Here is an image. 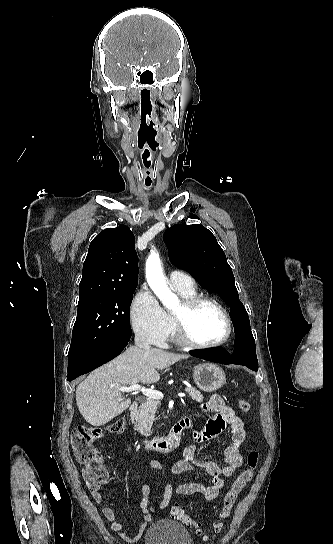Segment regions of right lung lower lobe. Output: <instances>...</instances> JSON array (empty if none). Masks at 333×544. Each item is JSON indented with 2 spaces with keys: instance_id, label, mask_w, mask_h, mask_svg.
Returning <instances> with one entry per match:
<instances>
[{
  "instance_id": "1",
  "label": "right lung lower lobe",
  "mask_w": 333,
  "mask_h": 544,
  "mask_svg": "<svg viewBox=\"0 0 333 544\" xmlns=\"http://www.w3.org/2000/svg\"><path fill=\"white\" fill-rule=\"evenodd\" d=\"M131 331L107 337L84 354L68 360L67 380L72 381L118 356L128 344Z\"/></svg>"
}]
</instances>
